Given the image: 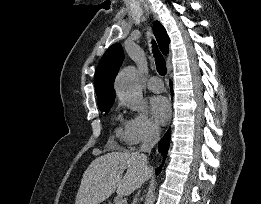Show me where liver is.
Instances as JSON below:
<instances>
[{
    "label": "liver",
    "instance_id": "6515ba94",
    "mask_svg": "<svg viewBox=\"0 0 261 204\" xmlns=\"http://www.w3.org/2000/svg\"><path fill=\"white\" fill-rule=\"evenodd\" d=\"M152 173L148 165L142 166L134 152H112L97 157L83 174L75 204H99L115 190L118 195H130Z\"/></svg>",
    "mask_w": 261,
    "mask_h": 204
}]
</instances>
